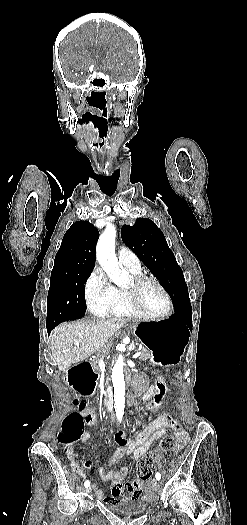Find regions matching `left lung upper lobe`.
Returning <instances> with one entry per match:
<instances>
[{
    "label": "left lung upper lobe",
    "mask_w": 247,
    "mask_h": 525,
    "mask_svg": "<svg viewBox=\"0 0 247 525\" xmlns=\"http://www.w3.org/2000/svg\"><path fill=\"white\" fill-rule=\"evenodd\" d=\"M122 240L160 281L172 298L175 313L192 310L183 272L162 231L150 219L122 227Z\"/></svg>",
    "instance_id": "left-lung-upper-lobe-1"
}]
</instances>
